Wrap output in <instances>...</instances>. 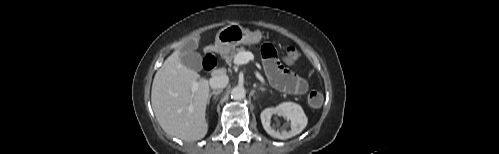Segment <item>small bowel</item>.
Instances as JSON below:
<instances>
[{
  "label": "small bowel",
  "mask_w": 499,
  "mask_h": 154,
  "mask_svg": "<svg viewBox=\"0 0 499 154\" xmlns=\"http://www.w3.org/2000/svg\"><path fill=\"white\" fill-rule=\"evenodd\" d=\"M262 56L266 74L275 88L295 95H302L307 92V81L287 70L278 62L276 50L272 45L266 44L263 46Z\"/></svg>",
  "instance_id": "small-bowel-1"
}]
</instances>
